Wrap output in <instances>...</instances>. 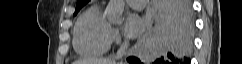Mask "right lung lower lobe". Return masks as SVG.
I'll list each match as a JSON object with an SVG mask.
<instances>
[{"mask_svg": "<svg viewBox=\"0 0 242 64\" xmlns=\"http://www.w3.org/2000/svg\"><path fill=\"white\" fill-rule=\"evenodd\" d=\"M156 19L161 26L162 54L154 64H173L187 58L192 41V12L189 0H156ZM130 64H139L136 57H129Z\"/></svg>", "mask_w": 242, "mask_h": 64, "instance_id": "98d812e1", "label": "right lung lower lobe"}]
</instances>
